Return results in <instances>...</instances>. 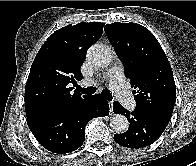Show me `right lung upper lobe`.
Returning a JSON list of instances; mask_svg holds the SVG:
<instances>
[{
  "mask_svg": "<svg viewBox=\"0 0 196 166\" xmlns=\"http://www.w3.org/2000/svg\"><path fill=\"white\" fill-rule=\"evenodd\" d=\"M105 23L81 22L67 25L45 41L36 55L25 86L27 119L57 111L80 100L77 91L69 84L81 80L80 67L88 48L97 42Z\"/></svg>",
  "mask_w": 196,
  "mask_h": 166,
  "instance_id": "cb5924a9",
  "label": "right lung upper lobe"
}]
</instances>
